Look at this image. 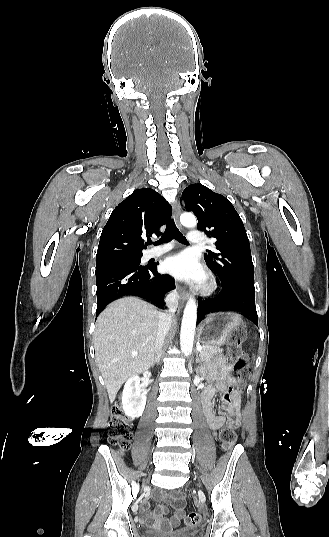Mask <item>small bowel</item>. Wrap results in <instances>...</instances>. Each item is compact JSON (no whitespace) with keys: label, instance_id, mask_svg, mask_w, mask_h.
I'll return each mask as SVG.
<instances>
[{"label":"small bowel","instance_id":"small-bowel-1","mask_svg":"<svg viewBox=\"0 0 329 537\" xmlns=\"http://www.w3.org/2000/svg\"><path fill=\"white\" fill-rule=\"evenodd\" d=\"M232 368V365L224 357L218 358L209 372V379L214 383L209 384L202 393L203 411L209 427L214 431L226 422L238 423L240 418V393L236 389L237 379L231 375ZM217 392L223 396V400L216 413L213 410V397ZM157 497L173 507V514L166 518L168 510L165 506L160 505L152 510L149 500H146L143 520L148 526L157 530L170 531L175 529L184 518L181 495L163 492Z\"/></svg>","mask_w":329,"mask_h":537}]
</instances>
